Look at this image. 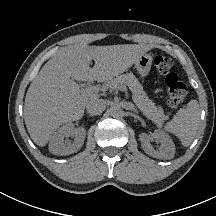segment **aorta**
Wrapping results in <instances>:
<instances>
[{"instance_id":"aorta-1","label":"aorta","mask_w":216,"mask_h":216,"mask_svg":"<svg viewBox=\"0 0 216 216\" xmlns=\"http://www.w3.org/2000/svg\"><path fill=\"white\" fill-rule=\"evenodd\" d=\"M110 115L113 118H119V117H121L123 115V110L118 106L111 107Z\"/></svg>"}]
</instances>
